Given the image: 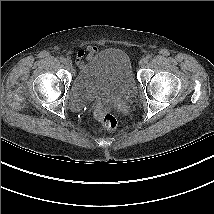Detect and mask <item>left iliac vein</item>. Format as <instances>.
I'll return each instance as SVG.
<instances>
[{"mask_svg": "<svg viewBox=\"0 0 214 214\" xmlns=\"http://www.w3.org/2000/svg\"><path fill=\"white\" fill-rule=\"evenodd\" d=\"M146 63H147V61H146L145 58H143V59H141V60L139 61V65H140L141 67H143Z\"/></svg>", "mask_w": 214, "mask_h": 214, "instance_id": "left-iliac-vein-1", "label": "left iliac vein"}]
</instances>
